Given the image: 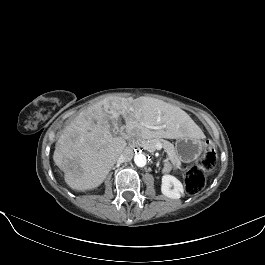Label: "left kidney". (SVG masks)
Here are the masks:
<instances>
[{"mask_svg": "<svg viewBox=\"0 0 265 265\" xmlns=\"http://www.w3.org/2000/svg\"><path fill=\"white\" fill-rule=\"evenodd\" d=\"M161 192L164 196L171 199H179L183 193L182 183L172 175H164L162 177Z\"/></svg>", "mask_w": 265, "mask_h": 265, "instance_id": "5707ae66", "label": "left kidney"}]
</instances>
